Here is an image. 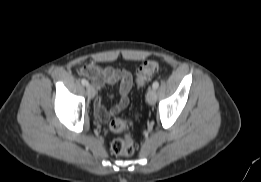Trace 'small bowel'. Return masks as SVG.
I'll use <instances>...</instances> for the list:
<instances>
[{"instance_id": "c3829d8e", "label": "small bowel", "mask_w": 261, "mask_h": 182, "mask_svg": "<svg viewBox=\"0 0 261 182\" xmlns=\"http://www.w3.org/2000/svg\"><path fill=\"white\" fill-rule=\"evenodd\" d=\"M81 73L89 78L98 90H101L107 84L119 83V101L109 110L105 108L101 98L95 100L94 110L99 120L107 121L128 106L129 93L132 88V76L126 69L87 63L82 67Z\"/></svg>"}]
</instances>
